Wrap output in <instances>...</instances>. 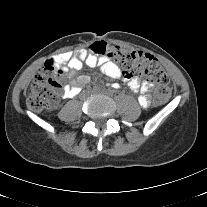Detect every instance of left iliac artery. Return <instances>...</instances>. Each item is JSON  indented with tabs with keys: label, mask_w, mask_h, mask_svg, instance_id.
Returning <instances> with one entry per match:
<instances>
[{
	"label": "left iliac artery",
	"mask_w": 207,
	"mask_h": 207,
	"mask_svg": "<svg viewBox=\"0 0 207 207\" xmlns=\"http://www.w3.org/2000/svg\"><path fill=\"white\" fill-rule=\"evenodd\" d=\"M113 87L114 88H120V85L119 84H114ZM108 94H110V95L112 94L111 90H108Z\"/></svg>",
	"instance_id": "44dca946"
}]
</instances>
